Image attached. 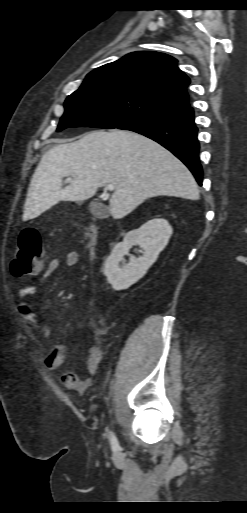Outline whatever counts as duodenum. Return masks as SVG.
<instances>
[{
    "label": "duodenum",
    "mask_w": 247,
    "mask_h": 513,
    "mask_svg": "<svg viewBox=\"0 0 247 513\" xmlns=\"http://www.w3.org/2000/svg\"><path fill=\"white\" fill-rule=\"evenodd\" d=\"M97 227L94 225H90L88 227V253L90 257H94L96 254V244H97Z\"/></svg>",
    "instance_id": "obj_1"
}]
</instances>
